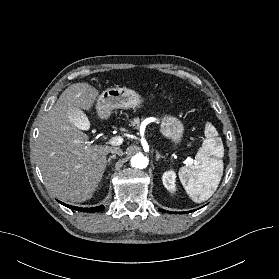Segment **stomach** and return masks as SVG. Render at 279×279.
<instances>
[{"mask_svg": "<svg viewBox=\"0 0 279 279\" xmlns=\"http://www.w3.org/2000/svg\"><path fill=\"white\" fill-rule=\"evenodd\" d=\"M143 102L144 99L138 92L127 87H115L108 88L99 95L96 108L99 117L106 119L114 109L135 108L141 106ZM159 121L161 134L175 146L179 145L184 133L183 123L178 118L167 114L163 115Z\"/></svg>", "mask_w": 279, "mask_h": 279, "instance_id": "obj_1", "label": "stomach"}]
</instances>
